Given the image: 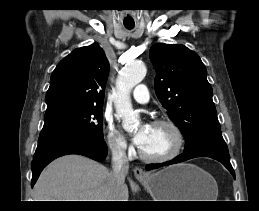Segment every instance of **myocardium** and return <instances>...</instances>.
Wrapping results in <instances>:
<instances>
[{
  "instance_id": "myocardium-1",
  "label": "myocardium",
  "mask_w": 259,
  "mask_h": 211,
  "mask_svg": "<svg viewBox=\"0 0 259 211\" xmlns=\"http://www.w3.org/2000/svg\"><path fill=\"white\" fill-rule=\"evenodd\" d=\"M153 126L157 127H166L168 128L173 135V146L170 151L162 155H148L141 148L138 149V154L140 158L146 162L151 163H163L168 162L175 157H177L182 150L184 144V137L179 126L169 119H158L152 122Z\"/></svg>"
}]
</instances>
